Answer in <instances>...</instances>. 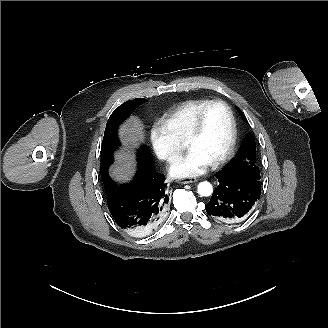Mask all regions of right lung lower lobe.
I'll list each match as a JSON object with an SVG mask.
<instances>
[{"label": "right lung lower lobe", "instance_id": "obj_1", "mask_svg": "<svg viewBox=\"0 0 328 328\" xmlns=\"http://www.w3.org/2000/svg\"><path fill=\"white\" fill-rule=\"evenodd\" d=\"M110 213L122 229L147 234L164 214L169 194L163 174L153 170V160L141 166L130 184L114 182L105 190Z\"/></svg>", "mask_w": 328, "mask_h": 328}]
</instances>
